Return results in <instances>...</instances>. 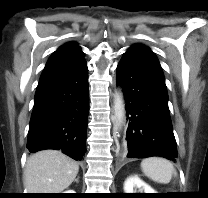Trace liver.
<instances>
[{
    "label": "liver",
    "instance_id": "obj_1",
    "mask_svg": "<svg viewBox=\"0 0 208 198\" xmlns=\"http://www.w3.org/2000/svg\"><path fill=\"white\" fill-rule=\"evenodd\" d=\"M77 162L56 150H43L26 163L24 186L29 193H60L74 181Z\"/></svg>",
    "mask_w": 208,
    "mask_h": 198
}]
</instances>
